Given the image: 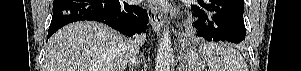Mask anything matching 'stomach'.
I'll return each instance as SVG.
<instances>
[{
    "mask_svg": "<svg viewBox=\"0 0 301 71\" xmlns=\"http://www.w3.org/2000/svg\"><path fill=\"white\" fill-rule=\"evenodd\" d=\"M207 60L199 51H187L180 55L179 71H203Z\"/></svg>",
    "mask_w": 301,
    "mask_h": 71,
    "instance_id": "obj_1",
    "label": "stomach"
}]
</instances>
